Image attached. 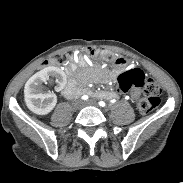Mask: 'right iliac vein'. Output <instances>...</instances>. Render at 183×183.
I'll return each mask as SVG.
<instances>
[{"mask_svg": "<svg viewBox=\"0 0 183 183\" xmlns=\"http://www.w3.org/2000/svg\"><path fill=\"white\" fill-rule=\"evenodd\" d=\"M82 107H83V102L80 101V100H76V101L73 103V108H74L75 110H80Z\"/></svg>", "mask_w": 183, "mask_h": 183, "instance_id": "right-iliac-vein-1", "label": "right iliac vein"}]
</instances>
